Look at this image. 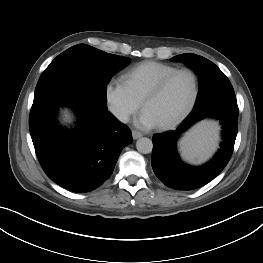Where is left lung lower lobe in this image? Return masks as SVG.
<instances>
[{
	"label": "left lung lower lobe",
	"mask_w": 263,
	"mask_h": 263,
	"mask_svg": "<svg viewBox=\"0 0 263 263\" xmlns=\"http://www.w3.org/2000/svg\"><path fill=\"white\" fill-rule=\"evenodd\" d=\"M238 106L235 95L217 96L195 106L191 114L173 132L154 136L152 168L168 187L177 190L197 189L214 179L227 165L237 135ZM214 118L222 125V142L217 154L202 166L182 162L176 141L194 123Z\"/></svg>",
	"instance_id": "1"
}]
</instances>
